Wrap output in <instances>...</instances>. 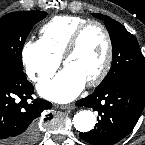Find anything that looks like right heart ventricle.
<instances>
[{
    "label": "right heart ventricle",
    "instance_id": "obj_1",
    "mask_svg": "<svg viewBox=\"0 0 145 145\" xmlns=\"http://www.w3.org/2000/svg\"><path fill=\"white\" fill-rule=\"evenodd\" d=\"M88 19L81 16H55L39 30V41L53 57L60 59L74 31Z\"/></svg>",
    "mask_w": 145,
    "mask_h": 145
}]
</instances>
